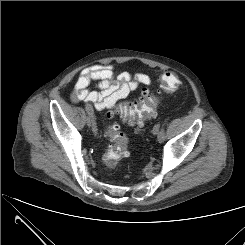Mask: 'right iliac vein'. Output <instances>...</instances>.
I'll use <instances>...</instances> for the list:
<instances>
[{
	"mask_svg": "<svg viewBox=\"0 0 245 245\" xmlns=\"http://www.w3.org/2000/svg\"><path fill=\"white\" fill-rule=\"evenodd\" d=\"M86 107H91L92 108V106L90 104H86ZM86 123H87V125L89 127L93 126V119H92V117L90 115L86 118ZM95 134H96V132H95Z\"/></svg>",
	"mask_w": 245,
	"mask_h": 245,
	"instance_id": "63e3f726",
	"label": "right iliac vein"
}]
</instances>
